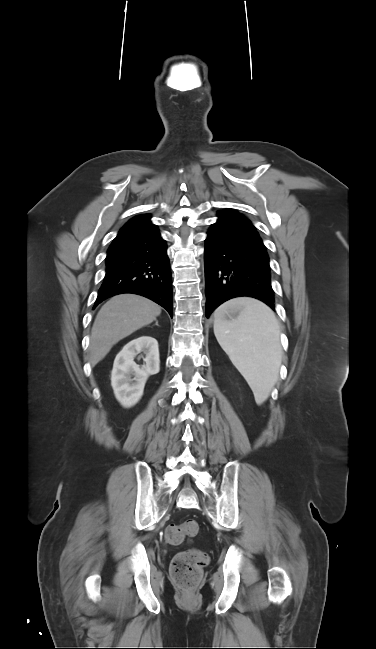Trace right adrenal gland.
Instances as JSON below:
<instances>
[{
    "mask_svg": "<svg viewBox=\"0 0 376 649\" xmlns=\"http://www.w3.org/2000/svg\"><path fill=\"white\" fill-rule=\"evenodd\" d=\"M155 325H157V326H158V322H157V321H156V323H155Z\"/></svg>",
    "mask_w": 376,
    "mask_h": 649,
    "instance_id": "right-adrenal-gland-1",
    "label": "right adrenal gland"
}]
</instances>
